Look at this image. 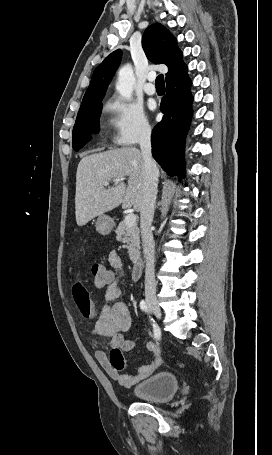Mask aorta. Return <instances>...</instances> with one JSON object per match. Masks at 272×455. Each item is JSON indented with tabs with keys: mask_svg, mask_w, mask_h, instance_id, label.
<instances>
[{
	"mask_svg": "<svg viewBox=\"0 0 272 455\" xmlns=\"http://www.w3.org/2000/svg\"><path fill=\"white\" fill-rule=\"evenodd\" d=\"M135 84L134 71L131 65L123 66L118 72V80L116 83V90L125 98L130 99L133 93Z\"/></svg>",
	"mask_w": 272,
	"mask_h": 455,
	"instance_id": "762f6f07",
	"label": "aorta"
}]
</instances>
